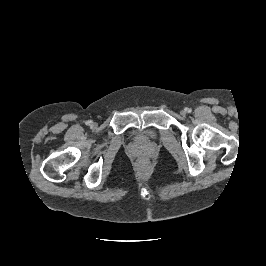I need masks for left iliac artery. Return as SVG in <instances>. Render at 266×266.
Masks as SVG:
<instances>
[{"instance_id":"1","label":"left iliac artery","mask_w":266,"mask_h":266,"mask_svg":"<svg viewBox=\"0 0 266 266\" xmlns=\"http://www.w3.org/2000/svg\"><path fill=\"white\" fill-rule=\"evenodd\" d=\"M185 110H186L188 113L191 112V109H190V108H186Z\"/></svg>"}]
</instances>
